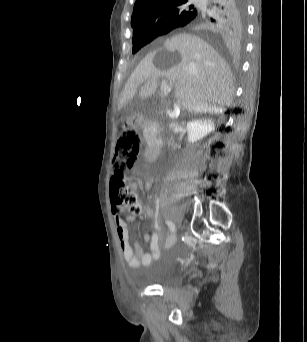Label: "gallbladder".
I'll list each match as a JSON object with an SVG mask.
<instances>
[{"label": "gallbladder", "mask_w": 307, "mask_h": 342, "mask_svg": "<svg viewBox=\"0 0 307 342\" xmlns=\"http://www.w3.org/2000/svg\"><path fill=\"white\" fill-rule=\"evenodd\" d=\"M171 116H172V118H179V116H180V109H179V107H172V109H171Z\"/></svg>", "instance_id": "obj_1"}]
</instances>
